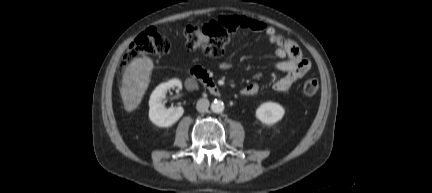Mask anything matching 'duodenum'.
I'll return each instance as SVG.
<instances>
[{"instance_id": "obj_1", "label": "duodenum", "mask_w": 432, "mask_h": 193, "mask_svg": "<svg viewBox=\"0 0 432 193\" xmlns=\"http://www.w3.org/2000/svg\"><path fill=\"white\" fill-rule=\"evenodd\" d=\"M189 75L192 78L201 81L212 95L217 97L221 96V90L219 86L205 69L200 67H192L189 69Z\"/></svg>"}]
</instances>
